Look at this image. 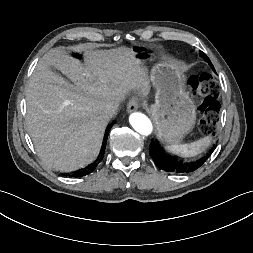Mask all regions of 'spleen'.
Instances as JSON below:
<instances>
[{
	"instance_id": "3e777b00",
	"label": "spleen",
	"mask_w": 253,
	"mask_h": 253,
	"mask_svg": "<svg viewBox=\"0 0 253 253\" xmlns=\"http://www.w3.org/2000/svg\"><path fill=\"white\" fill-rule=\"evenodd\" d=\"M210 142H211V138L207 136L189 144L166 145L165 148L169 152L176 155H180L182 157H195L198 154L205 151L207 147L210 145Z\"/></svg>"
}]
</instances>
